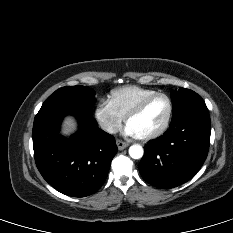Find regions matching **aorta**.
<instances>
[{
  "instance_id": "1",
  "label": "aorta",
  "mask_w": 233,
  "mask_h": 233,
  "mask_svg": "<svg viewBox=\"0 0 233 233\" xmlns=\"http://www.w3.org/2000/svg\"><path fill=\"white\" fill-rule=\"evenodd\" d=\"M144 150L140 145H132L129 148V155L133 159H140L143 157Z\"/></svg>"
}]
</instances>
